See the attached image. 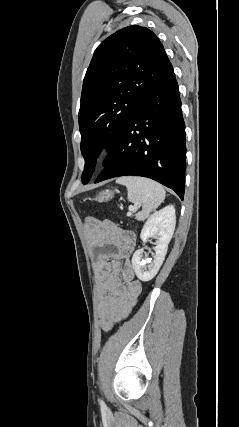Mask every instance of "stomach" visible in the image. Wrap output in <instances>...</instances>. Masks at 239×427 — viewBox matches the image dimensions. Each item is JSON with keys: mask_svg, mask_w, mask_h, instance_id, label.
Returning <instances> with one entry per match:
<instances>
[{"mask_svg": "<svg viewBox=\"0 0 239 427\" xmlns=\"http://www.w3.org/2000/svg\"><path fill=\"white\" fill-rule=\"evenodd\" d=\"M113 197H114L113 191L105 190V191L99 193L96 200L98 202H106V201L111 200Z\"/></svg>", "mask_w": 239, "mask_h": 427, "instance_id": "1", "label": "stomach"}]
</instances>
